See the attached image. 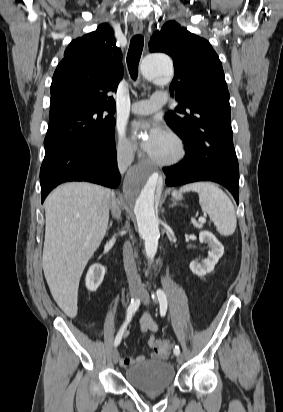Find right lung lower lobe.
I'll return each mask as SVG.
<instances>
[{"mask_svg":"<svg viewBox=\"0 0 283 412\" xmlns=\"http://www.w3.org/2000/svg\"><path fill=\"white\" fill-rule=\"evenodd\" d=\"M115 142H71L45 151L40 170L42 203L49 192L67 181H89L115 188L120 183Z\"/></svg>","mask_w":283,"mask_h":412,"instance_id":"right-lung-lower-lobe-1","label":"right lung lower lobe"}]
</instances>
